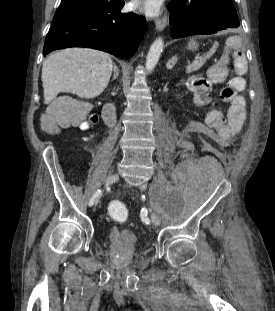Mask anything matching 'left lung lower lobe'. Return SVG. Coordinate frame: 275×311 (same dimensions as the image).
I'll use <instances>...</instances> for the list:
<instances>
[{
	"label": "left lung lower lobe",
	"mask_w": 275,
	"mask_h": 311,
	"mask_svg": "<svg viewBox=\"0 0 275 311\" xmlns=\"http://www.w3.org/2000/svg\"><path fill=\"white\" fill-rule=\"evenodd\" d=\"M170 7L172 38L213 34L240 25L232 0H177Z\"/></svg>",
	"instance_id": "left-lung-lower-lobe-1"
}]
</instances>
